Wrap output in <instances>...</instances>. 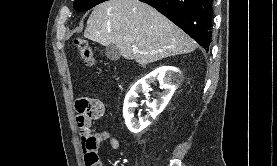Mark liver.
<instances>
[{"label": "liver", "mask_w": 277, "mask_h": 166, "mask_svg": "<svg viewBox=\"0 0 277 166\" xmlns=\"http://www.w3.org/2000/svg\"><path fill=\"white\" fill-rule=\"evenodd\" d=\"M84 37L102 46L114 44L125 59L143 66L197 48L184 31L139 0H108L95 6Z\"/></svg>", "instance_id": "liver-1"}]
</instances>
